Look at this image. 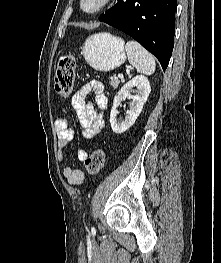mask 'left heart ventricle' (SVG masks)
Returning <instances> with one entry per match:
<instances>
[{"instance_id":"left-heart-ventricle-1","label":"left heart ventricle","mask_w":221,"mask_h":263,"mask_svg":"<svg viewBox=\"0 0 221 263\" xmlns=\"http://www.w3.org/2000/svg\"><path fill=\"white\" fill-rule=\"evenodd\" d=\"M100 0H86L85 7L88 9H93L99 4Z\"/></svg>"}]
</instances>
